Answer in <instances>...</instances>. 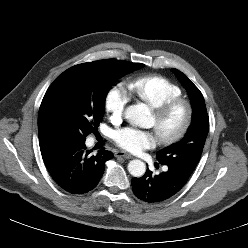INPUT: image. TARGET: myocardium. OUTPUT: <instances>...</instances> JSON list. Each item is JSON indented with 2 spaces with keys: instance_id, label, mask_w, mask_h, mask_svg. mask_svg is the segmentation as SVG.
Listing matches in <instances>:
<instances>
[{
  "instance_id": "obj_1",
  "label": "myocardium",
  "mask_w": 248,
  "mask_h": 248,
  "mask_svg": "<svg viewBox=\"0 0 248 248\" xmlns=\"http://www.w3.org/2000/svg\"><path fill=\"white\" fill-rule=\"evenodd\" d=\"M180 106L185 110L184 122L175 133L168 136H159V141L164 145L174 144L187 134L193 121V106L189 100L183 97H177L164 102L157 108H153L154 117L160 123Z\"/></svg>"
}]
</instances>
